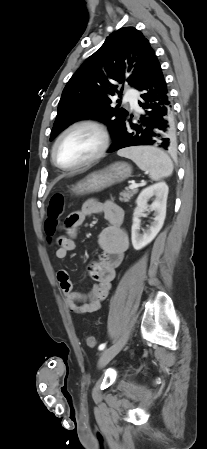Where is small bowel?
Instances as JSON below:
<instances>
[{"label":"small bowel","instance_id":"1","mask_svg":"<svg viewBox=\"0 0 207 449\" xmlns=\"http://www.w3.org/2000/svg\"><path fill=\"white\" fill-rule=\"evenodd\" d=\"M94 214H101L108 223L98 238L101 253L98 259L88 266L89 275L96 284L88 294H82L74 290L67 270L60 269L57 272V281L68 308L80 315L97 311L101 307L111 290L116 269L122 263L128 248V236L123 228L122 208L111 201L89 200L80 210L72 212L65 219L62 225L64 234L57 239L56 258L65 259L67 253L75 249L78 228L87 216Z\"/></svg>","mask_w":207,"mask_h":449}]
</instances>
